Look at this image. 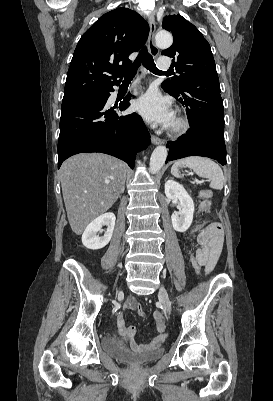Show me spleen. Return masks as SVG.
I'll return each instance as SVG.
<instances>
[{"mask_svg": "<svg viewBox=\"0 0 273 401\" xmlns=\"http://www.w3.org/2000/svg\"><path fill=\"white\" fill-rule=\"evenodd\" d=\"M178 166H189V168H193L198 176L209 178L211 188H219V190L223 188V170L217 162L210 160V158H204V156H186V158L175 160L171 168L174 176H180Z\"/></svg>", "mask_w": 273, "mask_h": 401, "instance_id": "obj_1", "label": "spleen"}]
</instances>
